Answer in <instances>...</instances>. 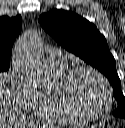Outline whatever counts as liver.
Returning a JSON list of instances; mask_svg holds the SVG:
<instances>
[{"mask_svg":"<svg viewBox=\"0 0 125 128\" xmlns=\"http://www.w3.org/2000/svg\"><path fill=\"white\" fill-rule=\"evenodd\" d=\"M10 94L8 89L4 85V82L0 80V128H11L13 124V117L10 111Z\"/></svg>","mask_w":125,"mask_h":128,"instance_id":"obj_1","label":"liver"}]
</instances>
